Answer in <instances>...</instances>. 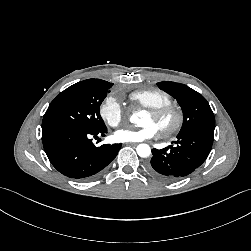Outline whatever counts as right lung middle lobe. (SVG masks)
<instances>
[{
    "mask_svg": "<svg viewBox=\"0 0 251 251\" xmlns=\"http://www.w3.org/2000/svg\"><path fill=\"white\" fill-rule=\"evenodd\" d=\"M113 83L88 79L62 91L49 105L42 121V130L62 126L84 130L106 127L99 112L102 101Z\"/></svg>",
    "mask_w": 251,
    "mask_h": 251,
    "instance_id": "right-lung-middle-lobe-1",
    "label": "right lung middle lobe"
}]
</instances>
